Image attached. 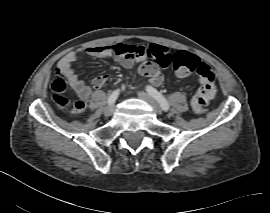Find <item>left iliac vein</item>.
Segmentation results:
<instances>
[{"mask_svg":"<svg viewBox=\"0 0 270 213\" xmlns=\"http://www.w3.org/2000/svg\"><path fill=\"white\" fill-rule=\"evenodd\" d=\"M138 96L145 100L146 102H148L152 107L153 109L155 110V112L158 114V115H161L162 112H163V109L161 107V105L152 97L150 96L149 94L143 92V91H140L138 93Z\"/></svg>","mask_w":270,"mask_h":213,"instance_id":"obj_1","label":"left iliac vein"}]
</instances>
